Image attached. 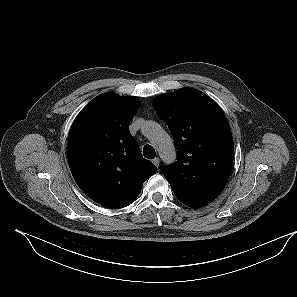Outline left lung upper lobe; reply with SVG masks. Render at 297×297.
Instances as JSON below:
<instances>
[{
	"label": "left lung upper lobe",
	"mask_w": 297,
	"mask_h": 297,
	"mask_svg": "<svg viewBox=\"0 0 297 297\" xmlns=\"http://www.w3.org/2000/svg\"><path fill=\"white\" fill-rule=\"evenodd\" d=\"M153 107L168 125L178 159L162 172L175 196L203 207L223 191L234 158V142L220 106L192 88L156 97Z\"/></svg>",
	"instance_id": "obj_1"
}]
</instances>
